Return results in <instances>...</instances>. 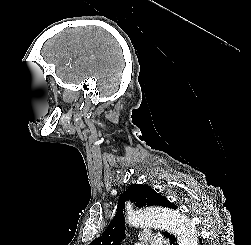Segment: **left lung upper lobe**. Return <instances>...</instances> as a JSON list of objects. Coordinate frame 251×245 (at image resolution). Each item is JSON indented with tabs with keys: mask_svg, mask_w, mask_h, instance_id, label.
I'll list each match as a JSON object with an SVG mask.
<instances>
[{
	"mask_svg": "<svg viewBox=\"0 0 251 245\" xmlns=\"http://www.w3.org/2000/svg\"><path fill=\"white\" fill-rule=\"evenodd\" d=\"M126 200H130L136 207L158 205L170 209L177 206L161 196L148 185L133 184L119 198L117 213L104 233L89 245H119L125 238L124 216L122 210ZM164 232L163 234H165Z\"/></svg>",
	"mask_w": 251,
	"mask_h": 245,
	"instance_id": "5c2ea615",
	"label": "left lung upper lobe"
}]
</instances>
